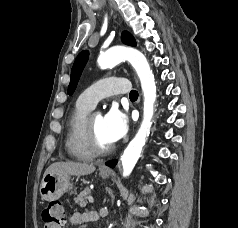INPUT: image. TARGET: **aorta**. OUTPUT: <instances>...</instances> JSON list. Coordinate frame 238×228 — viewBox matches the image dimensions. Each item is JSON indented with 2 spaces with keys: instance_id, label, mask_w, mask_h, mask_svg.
<instances>
[{
  "instance_id": "obj_1",
  "label": "aorta",
  "mask_w": 238,
  "mask_h": 228,
  "mask_svg": "<svg viewBox=\"0 0 238 228\" xmlns=\"http://www.w3.org/2000/svg\"><path fill=\"white\" fill-rule=\"evenodd\" d=\"M122 61H128L135 69L144 96L143 120L140 128L121 156L123 176L126 177L131 174L135 167L150 134L157 95L155 79L150 65L146 57L137 49L124 46L113 47L100 54L97 60L98 65L103 69L114 67ZM111 227L110 224L108 228Z\"/></svg>"
}]
</instances>
